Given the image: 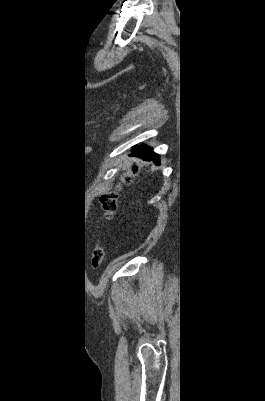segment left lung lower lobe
I'll list each match as a JSON object with an SVG mask.
<instances>
[{
	"label": "left lung lower lobe",
	"mask_w": 265,
	"mask_h": 401,
	"mask_svg": "<svg viewBox=\"0 0 265 401\" xmlns=\"http://www.w3.org/2000/svg\"><path fill=\"white\" fill-rule=\"evenodd\" d=\"M136 151L132 153L133 156H138L146 161H154L156 164H159V156L154 153L149 147L140 145L138 148H134Z\"/></svg>",
	"instance_id": "0a47b994"
}]
</instances>
